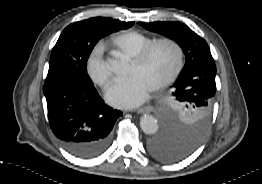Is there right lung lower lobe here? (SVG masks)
<instances>
[{"mask_svg": "<svg viewBox=\"0 0 262 184\" xmlns=\"http://www.w3.org/2000/svg\"><path fill=\"white\" fill-rule=\"evenodd\" d=\"M43 92L50 128L69 152L89 159L106 151L122 112L107 106L94 85L59 80L45 83Z\"/></svg>", "mask_w": 262, "mask_h": 184, "instance_id": "98d812e1", "label": "right lung lower lobe"}]
</instances>
